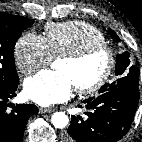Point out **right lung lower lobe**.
Wrapping results in <instances>:
<instances>
[{
	"mask_svg": "<svg viewBox=\"0 0 142 142\" xmlns=\"http://www.w3.org/2000/svg\"><path fill=\"white\" fill-rule=\"evenodd\" d=\"M19 81L0 88V142H22L28 119L38 113L33 104H17L9 110L8 100L16 96Z\"/></svg>",
	"mask_w": 142,
	"mask_h": 142,
	"instance_id": "1",
	"label": "right lung lower lobe"
}]
</instances>
